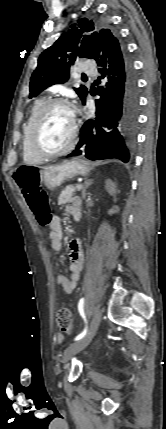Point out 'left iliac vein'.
Segmentation results:
<instances>
[{
  "instance_id": "4c4485c4",
  "label": "left iliac vein",
  "mask_w": 166,
  "mask_h": 429,
  "mask_svg": "<svg viewBox=\"0 0 166 429\" xmlns=\"http://www.w3.org/2000/svg\"><path fill=\"white\" fill-rule=\"evenodd\" d=\"M101 316V309L97 308L94 313V316L90 321L89 329L86 335L82 339L78 340L77 342L71 344L66 348L63 355L64 362H67L73 355L83 350L91 342L99 327Z\"/></svg>"
}]
</instances>
